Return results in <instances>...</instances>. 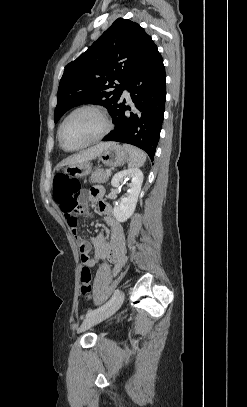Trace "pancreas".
I'll use <instances>...</instances> for the list:
<instances>
[{
	"label": "pancreas",
	"instance_id": "cf45deb5",
	"mask_svg": "<svg viewBox=\"0 0 247 407\" xmlns=\"http://www.w3.org/2000/svg\"><path fill=\"white\" fill-rule=\"evenodd\" d=\"M111 176V172L108 173L103 169H96L90 177V181L92 183H105L108 181L109 177Z\"/></svg>",
	"mask_w": 247,
	"mask_h": 407
}]
</instances>
